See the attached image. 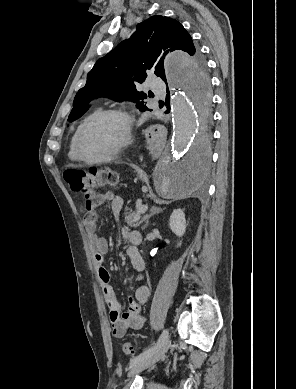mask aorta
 <instances>
[{"label": "aorta", "instance_id": "obj_1", "mask_svg": "<svg viewBox=\"0 0 296 389\" xmlns=\"http://www.w3.org/2000/svg\"><path fill=\"white\" fill-rule=\"evenodd\" d=\"M191 58L182 51L169 53L165 78L171 95L173 139L166 149V163L156 172L157 194L179 198L191 189H202L205 167H210L212 143L209 139V74L205 67H190Z\"/></svg>", "mask_w": 296, "mask_h": 389}]
</instances>
